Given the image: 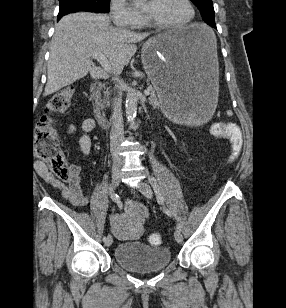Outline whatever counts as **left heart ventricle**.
Here are the masks:
<instances>
[{"instance_id": "left-heart-ventricle-1", "label": "left heart ventricle", "mask_w": 286, "mask_h": 308, "mask_svg": "<svg viewBox=\"0 0 286 308\" xmlns=\"http://www.w3.org/2000/svg\"><path fill=\"white\" fill-rule=\"evenodd\" d=\"M149 16L156 21L177 24L190 17V10L184 0H153Z\"/></svg>"}]
</instances>
